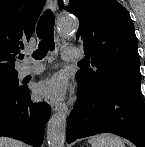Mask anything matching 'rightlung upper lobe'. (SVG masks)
I'll return each instance as SVG.
<instances>
[{
	"instance_id": "right-lung-upper-lobe-1",
	"label": "right lung upper lobe",
	"mask_w": 145,
	"mask_h": 147,
	"mask_svg": "<svg viewBox=\"0 0 145 147\" xmlns=\"http://www.w3.org/2000/svg\"><path fill=\"white\" fill-rule=\"evenodd\" d=\"M46 0H0V74L17 73L15 59L29 41Z\"/></svg>"
}]
</instances>
